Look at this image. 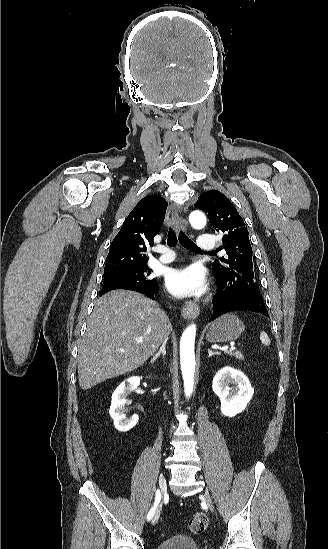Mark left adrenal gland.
Segmentation results:
<instances>
[{
  "instance_id": "1",
  "label": "left adrenal gland",
  "mask_w": 328,
  "mask_h": 549,
  "mask_svg": "<svg viewBox=\"0 0 328 549\" xmlns=\"http://www.w3.org/2000/svg\"><path fill=\"white\" fill-rule=\"evenodd\" d=\"M208 355L212 357V355H217V353H213L212 349H208Z\"/></svg>"
}]
</instances>
